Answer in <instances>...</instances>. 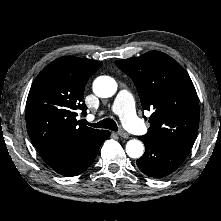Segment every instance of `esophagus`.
I'll list each match as a JSON object with an SVG mask.
<instances>
[{
  "label": "esophagus",
  "mask_w": 221,
  "mask_h": 221,
  "mask_svg": "<svg viewBox=\"0 0 221 221\" xmlns=\"http://www.w3.org/2000/svg\"><path fill=\"white\" fill-rule=\"evenodd\" d=\"M118 135L121 137V138H129V135L124 131V130H120L118 131Z\"/></svg>",
  "instance_id": "obj_1"
}]
</instances>
